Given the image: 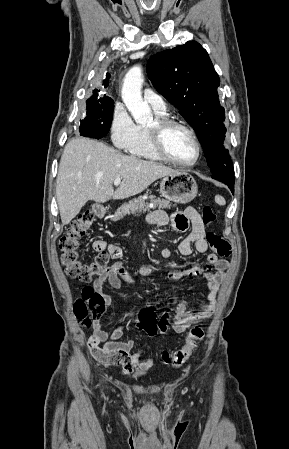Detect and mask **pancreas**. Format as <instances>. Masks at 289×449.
Wrapping results in <instances>:
<instances>
[{"label":"pancreas","mask_w":289,"mask_h":449,"mask_svg":"<svg viewBox=\"0 0 289 449\" xmlns=\"http://www.w3.org/2000/svg\"><path fill=\"white\" fill-rule=\"evenodd\" d=\"M149 198L151 200V203L153 205V208H160V209H170L171 204L169 201L156 198L154 195H144L140 196L138 198H134L133 200L129 201L128 203L122 205L113 215L111 218L112 221H118L122 218H124L128 214H134L138 211H146L149 210V204L146 202V199Z\"/></svg>","instance_id":"1"}]
</instances>
